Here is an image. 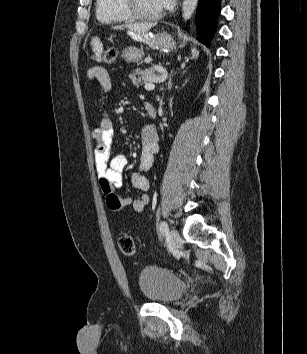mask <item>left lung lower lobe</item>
Wrapping results in <instances>:
<instances>
[{
  "label": "left lung lower lobe",
  "instance_id": "left-lung-lower-lobe-1",
  "mask_svg": "<svg viewBox=\"0 0 307 354\" xmlns=\"http://www.w3.org/2000/svg\"><path fill=\"white\" fill-rule=\"evenodd\" d=\"M221 0H200L197 14L199 40L209 46L216 31Z\"/></svg>",
  "mask_w": 307,
  "mask_h": 354
}]
</instances>
